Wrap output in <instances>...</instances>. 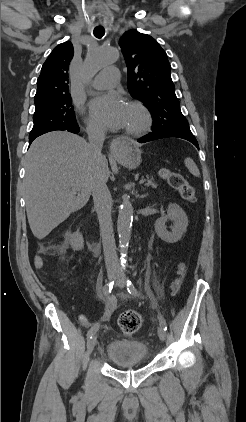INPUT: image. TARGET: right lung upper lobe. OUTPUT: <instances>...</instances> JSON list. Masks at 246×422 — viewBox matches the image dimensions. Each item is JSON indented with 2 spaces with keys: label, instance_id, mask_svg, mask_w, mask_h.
Returning a JSON list of instances; mask_svg holds the SVG:
<instances>
[{
  "label": "right lung upper lobe",
  "instance_id": "right-lung-upper-lobe-1",
  "mask_svg": "<svg viewBox=\"0 0 246 422\" xmlns=\"http://www.w3.org/2000/svg\"><path fill=\"white\" fill-rule=\"evenodd\" d=\"M74 50L70 41L56 46L42 66L37 80V92L34 97L36 108L43 107L58 98L70 96L68 86V68Z\"/></svg>",
  "mask_w": 246,
  "mask_h": 422
}]
</instances>
